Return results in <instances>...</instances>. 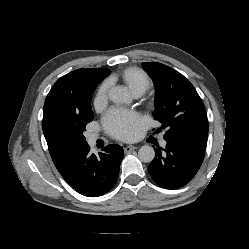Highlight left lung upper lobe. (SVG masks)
Masks as SVG:
<instances>
[{
    "label": "left lung upper lobe",
    "mask_w": 249,
    "mask_h": 249,
    "mask_svg": "<svg viewBox=\"0 0 249 249\" xmlns=\"http://www.w3.org/2000/svg\"><path fill=\"white\" fill-rule=\"evenodd\" d=\"M155 85L153 117L167 131V142L191 146L205 152L208 121L201 98L178 71L155 62L142 63Z\"/></svg>",
    "instance_id": "obj_1"
}]
</instances>
